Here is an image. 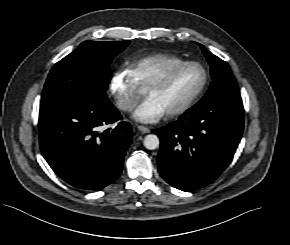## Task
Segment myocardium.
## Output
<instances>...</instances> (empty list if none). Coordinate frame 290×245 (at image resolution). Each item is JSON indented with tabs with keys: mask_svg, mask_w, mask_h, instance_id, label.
<instances>
[{
	"mask_svg": "<svg viewBox=\"0 0 290 245\" xmlns=\"http://www.w3.org/2000/svg\"><path fill=\"white\" fill-rule=\"evenodd\" d=\"M185 67H198V68H200L203 72V81H202L200 87L196 90V92L184 104H182L180 107H178L174 110L167 112V115L170 117L179 116L181 114H184L201 97V95L205 91V89L208 85V82H209V74H208V71L205 68V66H203L201 63L194 62V61H184L181 63H177V64L169 66L166 69H164L163 71H161L146 85V89L150 88V87L161 86L168 80V78L171 76L172 73H174L182 68H185Z\"/></svg>",
	"mask_w": 290,
	"mask_h": 245,
	"instance_id": "1",
	"label": "myocardium"
}]
</instances>
